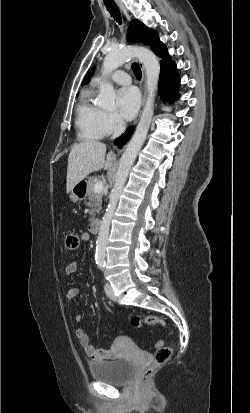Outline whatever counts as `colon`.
Returning a JSON list of instances; mask_svg holds the SVG:
<instances>
[{
  "label": "colon",
  "instance_id": "colon-1",
  "mask_svg": "<svg viewBox=\"0 0 250 413\" xmlns=\"http://www.w3.org/2000/svg\"><path fill=\"white\" fill-rule=\"evenodd\" d=\"M64 246L67 251L73 252L76 251L79 246H80V238L76 233H68L65 236L64 240ZM164 321L162 318L156 315H148V316H143V315H135L132 318V325L135 328H142L145 326H150V325H164ZM156 351L154 355V360L151 366L147 367L143 373H142V379L146 380L149 378L154 370L166 363L172 356L173 354V348L170 346H166L162 340H159L155 343L154 345Z\"/></svg>",
  "mask_w": 250,
  "mask_h": 413
}]
</instances>
